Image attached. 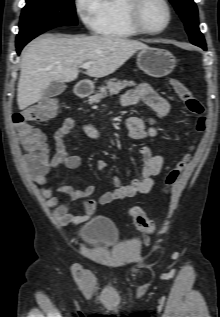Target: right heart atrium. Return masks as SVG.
Masks as SVG:
<instances>
[{
  "instance_id": "right-heart-atrium-1",
  "label": "right heart atrium",
  "mask_w": 220,
  "mask_h": 317,
  "mask_svg": "<svg viewBox=\"0 0 220 317\" xmlns=\"http://www.w3.org/2000/svg\"><path fill=\"white\" fill-rule=\"evenodd\" d=\"M74 10L87 29L97 30L99 0H74Z\"/></svg>"
}]
</instances>
